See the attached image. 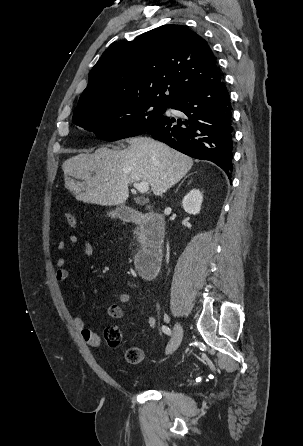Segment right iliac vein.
I'll list each match as a JSON object with an SVG mask.
<instances>
[{
    "label": "right iliac vein",
    "mask_w": 303,
    "mask_h": 446,
    "mask_svg": "<svg viewBox=\"0 0 303 446\" xmlns=\"http://www.w3.org/2000/svg\"><path fill=\"white\" fill-rule=\"evenodd\" d=\"M183 338V328L180 323L175 324L174 335L166 348V354L173 353L180 345Z\"/></svg>",
    "instance_id": "obj_1"
}]
</instances>
